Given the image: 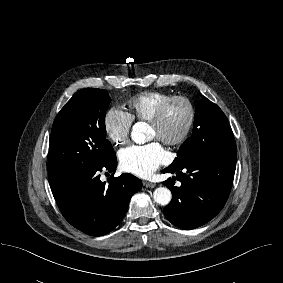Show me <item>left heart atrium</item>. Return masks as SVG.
Here are the masks:
<instances>
[{"instance_id":"left-heart-atrium-1","label":"left heart atrium","mask_w":283,"mask_h":283,"mask_svg":"<svg viewBox=\"0 0 283 283\" xmlns=\"http://www.w3.org/2000/svg\"><path fill=\"white\" fill-rule=\"evenodd\" d=\"M119 158L124 171L149 177L167 160L168 154L160 143L154 141L128 147L120 152Z\"/></svg>"}]
</instances>
